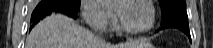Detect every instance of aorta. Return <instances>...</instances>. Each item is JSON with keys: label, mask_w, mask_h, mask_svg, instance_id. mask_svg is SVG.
<instances>
[{"label": "aorta", "mask_w": 213, "mask_h": 48, "mask_svg": "<svg viewBox=\"0 0 213 48\" xmlns=\"http://www.w3.org/2000/svg\"><path fill=\"white\" fill-rule=\"evenodd\" d=\"M101 4L106 5V4H111L114 2V0H100Z\"/></svg>", "instance_id": "obj_1"}]
</instances>
